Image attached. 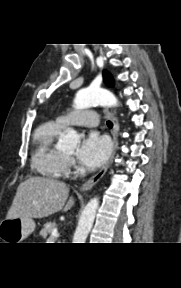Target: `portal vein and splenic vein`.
Segmentation results:
<instances>
[{
    "mask_svg": "<svg viewBox=\"0 0 181 288\" xmlns=\"http://www.w3.org/2000/svg\"><path fill=\"white\" fill-rule=\"evenodd\" d=\"M58 236H59V233H58L57 229H54V230L52 231V233H51V236H50L49 240H54V239H56Z\"/></svg>",
    "mask_w": 181,
    "mask_h": 288,
    "instance_id": "18ae733b",
    "label": "portal vein and splenic vein"
}]
</instances>
